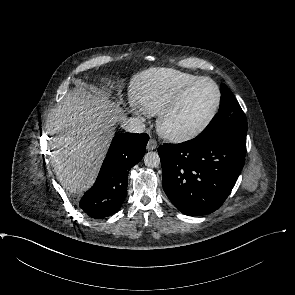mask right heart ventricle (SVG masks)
<instances>
[{
  "instance_id": "obj_1",
  "label": "right heart ventricle",
  "mask_w": 295,
  "mask_h": 295,
  "mask_svg": "<svg viewBox=\"0 0 295 295\" xmlns=\"http://www.w3.org/2000/svg\"><path fill=\"white\" fill-rule=\"evenodd\" d=\"M197 77L168 68L145 71L136 81L138 101L151 115L158 114L181 88Z\"/></svg>"
}]
</instances>
